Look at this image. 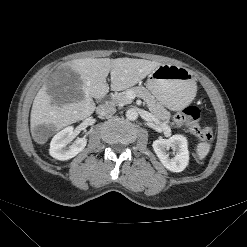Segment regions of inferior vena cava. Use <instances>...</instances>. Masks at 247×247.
Returning <instances> with one entry per match:
<instances>
[{
  "label": "inferior vena cava",
  "instance_id": "obj_1",
  "mask_svg": "<svg viewBox=\"0 0 247 247\" xmlns=\"http://www.w3.org/2000/svg\"><path fill=\"white\" fill-rule=\"evenodd\" d=\"M97 114L102 117L111 116L116 113V108L109 104H103L96 110Z\"/></svg>",
  "mask_w": 247,
  "mask_h": 247
}]
</instances>
